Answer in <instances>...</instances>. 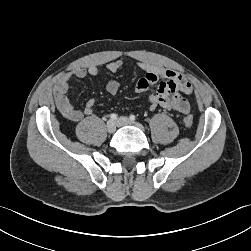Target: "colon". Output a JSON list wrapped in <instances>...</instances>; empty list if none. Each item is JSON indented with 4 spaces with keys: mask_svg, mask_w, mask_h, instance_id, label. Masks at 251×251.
<instances>
[{
    "mask_svg": "<svg viewBox=\"0 0 251 251\" xmlns=\"http://www.w3.org/2000/svg\"><path fill=\"white\" fill-rule=\"evenodd\" d=\"M183 122H184L185 126L191 127L193 125L192 116H190V115L185 116L184 119H183Z\"/></svg>",
    "mask_w": 251,
    "mask_h": 251,
    "instance_id": "1",
    "label": "colon"
}]
</instances>
